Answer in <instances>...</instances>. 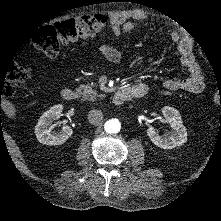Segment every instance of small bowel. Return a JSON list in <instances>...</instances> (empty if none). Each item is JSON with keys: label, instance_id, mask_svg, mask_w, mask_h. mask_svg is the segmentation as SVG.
<instances>
[{"label": "small bowel", "instance_id": "1", "mask_svg": "<svg viewBox=\"0 0 221 221\" xmlns=\"http://www.w3.org/2000/svg\"><path fill=\"white\" fill-rule=\"evenodd\" d=\"M147 18L146 14L140 11H124L115 12L110 16V38L112 40L121 38L124 35L131 33L137 28L134 21H143ZM170 39L174 42L179 40L176 32L170 33ZM99 54L107 58L113 63H119L122 59L121 52L113 46L103 44L98 49ZM177 53L181 64L187 69L189 76L184 79L171 78L164 81L163 86L170 91L184 90L190 93L198 94L204 90V80L202 70L192 54V42L188 38L179 41L177 46ZM143 83H137L130 91L134 93L135 98L140 97L137 90ZM147 91V86H146Z\"/></svg>", "mask_w": 221, "mask_h": 221}]
</instances>
